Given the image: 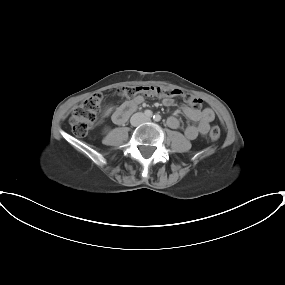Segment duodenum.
<instances>
[{
	"instance_id": "duodenum-1",
	"label": "duodenum",
	"mask_w": 285,
	"mask_h": 285,
	"mask_svg": "<svg viewBox=\"0 0 285 285\" xmlns=\"http://www.w3.org/2000/svg\"><path fill=\"white\" fill-rule=\"evenodd\" d=\"M136 108L135 105L131 103H125L123 104L118 110L114 113L113 120L117 124L124 123L128 116L134 111Z\"/></svg>"
}]
</instances>
